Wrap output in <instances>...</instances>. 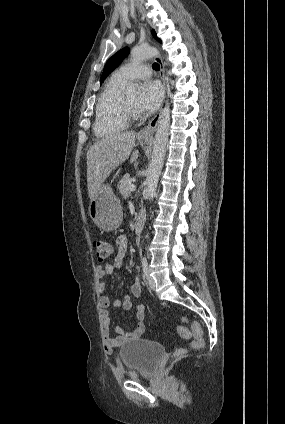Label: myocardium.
Masks as SVG:
<instances>
[{
	"instance_id": "1",
	"label": "myocardium",
	"mask_w": 285,
	"mask_h": 424,
	"mask_svg": "<svg viewBox=\"0 0 285 424\" xmlns=\"http://www.w3.org/2000/svg\"><path fill=\"white\" fill-rule=\"evenodd\" d=\"M121 107L122 113L128 121L138 118L139 114L137 110L134 109L131 105H129L125 98H122Z\"/></svg>"
}]
</instances>
